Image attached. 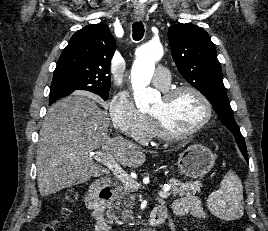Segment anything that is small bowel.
Returning a JSON list of instances; mask_svg holds the SVG:
<instances>
[{
    "label": "small bowel",
    "instance_id": "obj_1",
    "mask_svg": "<svg viewBox=\"0 0 268 231\" xmlns=\"http://www.w3.org/2000/svg\"><path fill=\"white\" fill-rule=\"evenodd\" d=\"M161 210L166 216L167 211L165 209ZM172 211L177 215H185L189 213L198 218H205L206 216L200 199L194 195L185 196L174 201Z\"/></svg>",
    "mask_w": 268,
    "mask_h": 231
}]
</instances>
